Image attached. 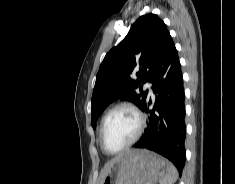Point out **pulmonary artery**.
<instances>
[{
    "label": "pulmonary artery",
    "mask_w": 235,
    "mask_h": 184,
    "mask_svg": "<svg viewBox=\"0 0 235 184\" xmlns=\"http://www.w3.org/2000/svg\"><path fill=\"white\" fill-rule=\"evenodd\" d=\"M146 87L149 89V92H151V84H150V83H147V84H146Z\"/></svg>",
    "instance_id": "obj_1"
}]
</instances>
